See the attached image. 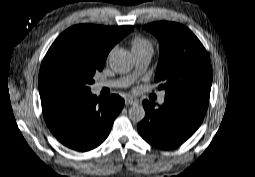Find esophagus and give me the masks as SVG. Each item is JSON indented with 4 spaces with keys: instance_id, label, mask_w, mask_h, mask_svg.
Masks as SVG:
<instances>
[{
    "instance_id": "obj_1",
    "label": "esophagus",
    "mask_w": 255,
    "mask_h": 177,
    "mask_svg": "<svg viewBox=\"0 0 255 177\" xmlns=\"http://www.w3.org/2000/svg\"><path fill=\"white\" fill-rule=\"evenodd\" d=\"M139 101L137 99H134L132 97H126L125 98V104L128 105V104H137Z\"/></svg>"
}]
</instances>
